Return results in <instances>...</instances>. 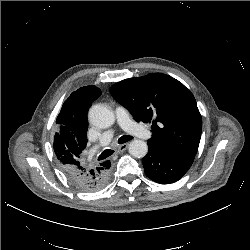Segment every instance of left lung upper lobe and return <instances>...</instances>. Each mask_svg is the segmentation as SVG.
<instances>
[{"label":"left lung upper lobe","mask_w":250,"mask_h":250,"mask_svg":"<svg viewBox=\"0 0 250 250\" xmlns=\"http://www.w3.org/2000/svg\"><path fill=\"white\" fill-rule=\"evenodd\" d=\"M110 93L136 121L152 122L153 135L148 142L172 152L197 153L202 118L193 94L181 82L151 73L120 81Z\"/></svg>","instance_id":"left-lung-upper-lobe-1"}]
</instances>
